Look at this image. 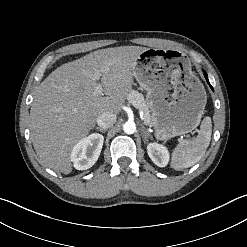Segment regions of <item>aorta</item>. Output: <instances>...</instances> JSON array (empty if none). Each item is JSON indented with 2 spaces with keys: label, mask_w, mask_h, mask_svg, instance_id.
<instances>
[{
  "label": "aorta",
  "mask_w": 247,
  "mask_h": 247,
  "mask_svg": "<svg viewBox=\"0 0 247 247\" xmlns=\"http://www.w3.org/2000/svg\"><path fill=\"white\" fill-rule=\"evenodd\" d=\"M123 131L126 134H133L136 131V124L132 121H127L123 125Z\"/></svg>",
  "instance_id": "obj_1"
}]
</instances>
